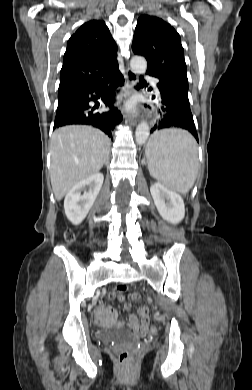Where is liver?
Masks as SVG:
<instances>
[{
    "label": "liver",
    "mask_w": 252,
    "mask_h": 390,
    "mask_svg": "<svg viewBox=\"0 0 252 390\" xmlns=\"http://www.w3.org/2000/svg\"><path fill=\"white\" fill-rule=\"evenodd\" d=\"M110 144L108 136L91 126H65L53 133L50 177L56 200L99 172L108 159Z\"/></svg>",
    "instance_id": "1"
}]
</instances>
